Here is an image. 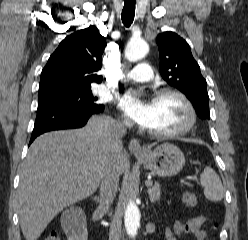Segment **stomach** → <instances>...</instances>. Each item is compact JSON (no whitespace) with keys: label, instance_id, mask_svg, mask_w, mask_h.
<instances>
[{"label":"stomach","instance_id":"stomach-1","mask_svg":"<svg viewBox=\"0 0 248 240\" xmlns=\"http://www.w3.org/2000/svg\"><path fill=\"white\" fill-rule=\"evenodd\" d=\"M136 158L149 170L161 177H170L179 173L185 165L183 152L171 143H163L144 155Z\"/></svg>","mask_w":248,"mask_h":240}]
</instances>
